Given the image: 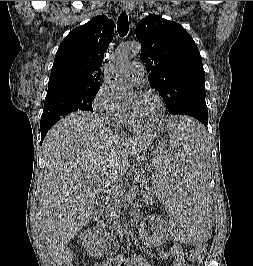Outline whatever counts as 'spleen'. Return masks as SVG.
I'll return each mask as SVG.
<instances>
[{
    "instance_id": "obj_1",
    "label": "spleen",
    "mask_w": 253,
    "mask_h": 266,
    "mask_svg": "<svg viewBox=\"0 0 253 266\" xmlns=\"http://www.w3.org/2000/svg\"><path fill=\"white\" fill-rule=\"evenodd\" d=\"M167 145L154 160L149 190L167 210L172 248H203L209 242L216 207H208L209 148L201 123L190 115L165 117Z\"/></svg>"
}]
</instances>
